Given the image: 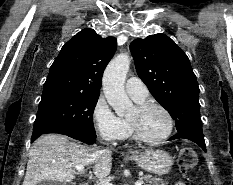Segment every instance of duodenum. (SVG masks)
Listing matches in <instances>:
<instances>
[{
    "instance_id": "obj_1",
    "label": "duodenum",
    "mask_w": 233,
    "mask_h": 185,
    "mask_svg": "<svg viewBox=\"0 0 233 185\" xmlns=\"http://www.w3.org/2000/svg\"><path fill=\"white\" fill-rule=\"evenodd\" d=\"M80 185H88V184H80Z\"/></svg>"
}]
</instances>
